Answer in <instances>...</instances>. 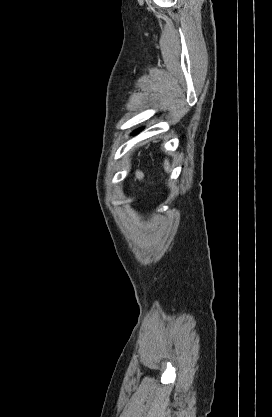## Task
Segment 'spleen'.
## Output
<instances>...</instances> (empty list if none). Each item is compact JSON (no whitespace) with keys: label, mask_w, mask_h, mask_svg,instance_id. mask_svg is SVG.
<instances>
[{"label":"spleen","mask_w":272,"mask_h":417,"mask_svg":"<svg viewBox=\"0 0 272 417\" xmlns=\"http://www.w3.org/2000/svg\"><path fill=\"white\" fill-rule=\"evenodd\" d=\"M169 167H170L169 161L166 159L165 162H164V169H165V171H169Z\"/></svg>","instance_id":"obj_1"}]
</instances>
